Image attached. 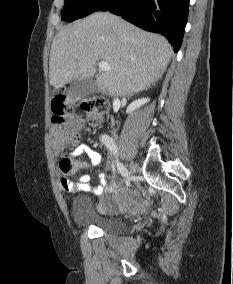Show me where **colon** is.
<instances>
[{"label": "colon", "mask_w": 233, "mask_h": 284, "mask_svg": "<svg viewBox=\"0 0 233 284\" xmlns=\"http://www.w3.org/2000/svg\"><path fill=\"white\" fill-rule=\"evenodd\" d=\"M74 104L86 114L87 120L91 125H98L108 109L107 102L99 97L79 98ZM51 112L53 123L67 127V142L71 145H76L80 140V133L71 120L73 106L62 98L57 97L52 100ZM59 167L64 178L74 170V164L69 158H63Z\"/></svg>", "instance_id": "obj_1"}]
</instances>
